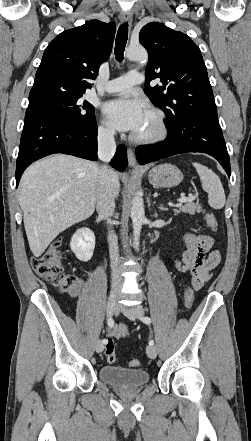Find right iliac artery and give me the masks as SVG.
I'll return each instance as SVG.
<instances>
[{
    "mask_svg": "<svg viewBox=\"0 0 251 441\" xmlns=\"http://www.w3.org/2000/svg\"><path fill=\"white\" fill-rule=\"evenodd\" d=\"M107 324H108V326H109L110 328H112V327L114 326V320H113V318L110 317V318L108 319V321H107ZM106 342H107L106 339H103V340H102V343H103V344H105Z\"/></svg>",
    "mask_w": 251,
    "mask_h": 441,
    "instance_id": "82829eb1",
    "label": "right iliac artery"
}]
</instances>
